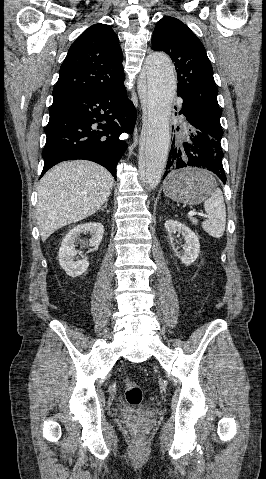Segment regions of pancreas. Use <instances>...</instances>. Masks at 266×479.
I'll return each mask as SVG.
<instances>
[{
  "label": "pancreas",
  "instance_id": "cf45deb5",
  "mask_svg": "<svg viewBox=\"0 0 266 479\" xmlns=\"http://www.w3.org/2000/svg\"><path fill=\"white\" fill-rule=\"evenodd\" d=\"M190 220L194 225L198 224V220L196 218H190Z\"/></svg>",
  "mask_w": 266,
  "mask_h": 479
}]
</instances>
